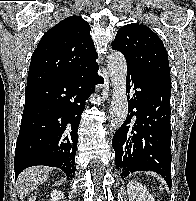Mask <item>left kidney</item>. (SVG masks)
Wrapping results in <instances>:
<instances>
[{"mask_svg": "<svg viewBox=\"0 0 196 201\" xmlns=\"http://www.w3.org/2000/svg\"><path fill=\"white\" fill-rule=\"evenodd\" d=\"M129 201H155L153 196L140 183L129 181L127 184Z\"/></svg>", "mask_w": 196, "mask_h": 201, "instance_id": "obj_1", "label": "left kidney"}]
</instances>
